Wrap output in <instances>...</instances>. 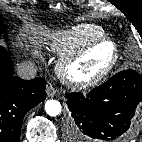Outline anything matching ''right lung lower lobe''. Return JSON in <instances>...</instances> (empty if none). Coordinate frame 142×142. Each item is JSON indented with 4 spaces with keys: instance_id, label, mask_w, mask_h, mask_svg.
Listing matches in <instances>:
<instances>
[{
    "instance_id": "1",
    "label": "right lung lower lobe",
    "mask_w": 142,
    "mask_h": 142,
    "mask_svg": "<svg viewBox=\"0 0 142 142\" xmlns=\"http://www.w3.org/2000/svg\"><path fill=\"white\" fill-rule=\"evenodd\" d=\"M43 78L13 75L9 53L0 47V142H19L25 114L46 97Z\"/></svg>"
}]
</instances>
